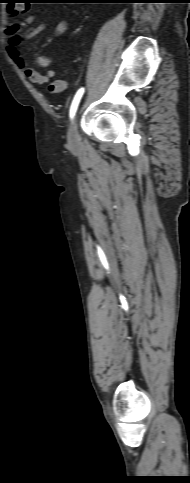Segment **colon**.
I'll list each match as a JSON object with an SVG mask.
<instances>
[{
    "label": "colon",
    "mask_w": 190,
    "mask_h": 483,
    "mask_svg": "<svg viewBox=\"0 0 190 483\" xmlns=\"http://www.w3.org/2000/svg\"><path fill=\"white\" fill-rule=\"evenodd\" d=\"M30 0H12L8 4V12L12 16H19L27 12Z\"/></svg>",
    "instance_id": "5ec220e1"
}]
</instances>
